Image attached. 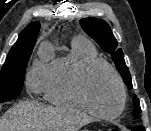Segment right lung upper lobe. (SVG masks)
Masks as SVG:
<instances>
[{"instance_id":"right-lung-upper-lobe-1","label":"right lung upper lobe","mask_w":151,"mask_h":131,"mask_svg":"<svg viewBox=\"0 0 151 131\" xmlns=\"http://www.w3.org/2000/svg\"><path fill=\"white\" fill-rule=\"evenodd\" d=\"M40 30L39 22H34L26 26L20 33L17 42L12 46L11 49L35 44L37 36Z\"/></svg>"}]
</instances>
